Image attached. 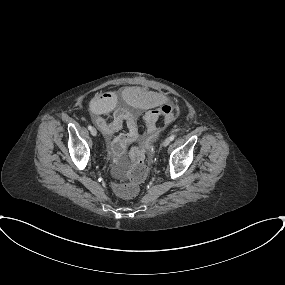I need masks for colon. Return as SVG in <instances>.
<instances>
[{
	"instance_id": "obj_1",
	"label": "colon",
	"mask_w": 285,
	"mask_h": 285,
	"mask_svg": "<svg viewBox=\"0 0 285 285\" xmlns=\"http://www.w3.org/2000/svg\"><path fill=\"white\" fill-rule=\"evenodd\" d=\"M160 118L155 111L147 112L143 118L142 123L145 134L153 133L159 124ZM147 173V164L143 160H138L130 169L127 177L122 183L115 186V191L122 197H133L138 192V184L141 183Z\"/></svg>"
}]
</instances>
